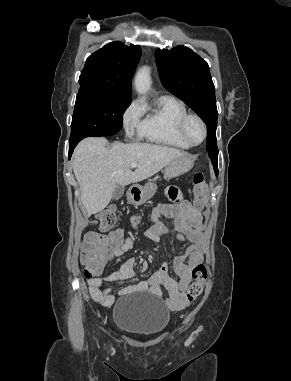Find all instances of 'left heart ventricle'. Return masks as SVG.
Listing matches in <instances>:
<instances>
[{
    "label": "left heart ventricle",
    "instance_id": "left-heart-ventricle-1",
    "mask_svg": "<svg viewBox=\"0 0 291 381\" xmlns=\"http://www.w3.org/2000/svg\"><path fill=\"white\" fill-rule=\"evenodd\" d=\"M187 130H188V134L190 138L194 142H199L202 139V135H203L202 127L197 120H194V119L190 120L187 125Z\"/></svg>",
    "mask_w": 291,
    "mask_h": 381
}]
</instances>
